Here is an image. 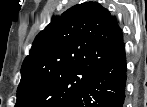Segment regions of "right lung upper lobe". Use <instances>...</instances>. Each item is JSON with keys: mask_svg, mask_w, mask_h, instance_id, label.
<instances>
[{"mask_svg": "<svg viewBox=\"0 0 147 107\" xmlns=\"http://www.w3.org/2000/svg\"><path fill=\"white\" fill-rule=\"evenodd\" d=\"M124 44L115 17L97 2H85L52 19L35 38L21 76L74 66L99 68Z\"/></svg>", "mask_w": 147, "mask_h": 107, "instance_id": "cb5924a9", "label": "right lung upper lobe"}]
</instances>
